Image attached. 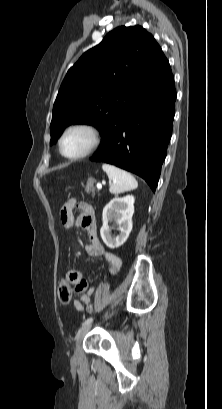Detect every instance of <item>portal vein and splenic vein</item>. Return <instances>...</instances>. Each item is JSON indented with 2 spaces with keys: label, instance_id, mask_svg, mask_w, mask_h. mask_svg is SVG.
Instances as JSON below:
<instances>
[{
  "label": "portal vein and splenic vein",
  "instance_id": "obj_1",
  "mask_svg": "<svg viewBox=\"0 0 222 409\" xmlns=\"http://www.w3.org/2000/svg\"><path fill=\"white\" fill-rule=\"evenodd\" d=\"M96 186H97V189H99V190L102 188V184H101V183H97Z\"/></svg>",
  "mask_w": 222,
  "mask_h": 409
}]
</instances>
